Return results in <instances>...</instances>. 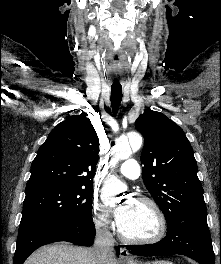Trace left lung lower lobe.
<instances>
[{
    "mask_svg": "<svg viewBox=\"0 0 221 264\" xmlns=\"http://www.w3.org/2000/svg\"><path fill=\"white\" fill-rule=\"evenodd\" d=\"M135 255L165 256L181 254L200 264H214L215 257L207 221H184L168 224L167 235L150 245H128Z\"/></svg>",
    "mask_w": 221,
    "mask_h": 264,
    "instance_id": "1",
    "label": "left lung lower lobe"
}]
</instances>
